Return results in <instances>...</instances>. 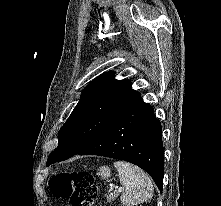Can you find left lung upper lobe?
Returning <instances> with one entry per match:
<instances>
[{
  "label": "left lung upper lobe",
  "mask_w": 221,
  "mask_h": 206,
  "mask_svg": "<svg viewBox=\"0 0 221 206\" xmlns=\"http://www.w3.org/2000/svg\"><path fill=\"white\" fill-rule=\"evenodd\" d=\"M140 93L131 89L129 80L114 79L107 72L94 79L82 92L81 99L58 134V147L46 165L74 156L102 133Z\"/></svg>",
  "instance_id": "left-lung-upper-lobe-1"
}]
</instances>
